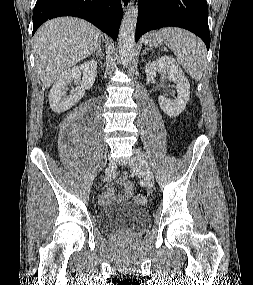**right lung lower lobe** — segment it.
Returning a JSON list of instances; mask_svg holds the SVG:
<instances>
[{
    "instance_id": "98d812e1",
    "label": "right lung lower lobe",
    "mask_w": 253,
    "mask_h": 285,
    "mask_svg": "<svg viewBox=\"0 0 253 285\" xmlns=\"http://www.w3.org/2000/svg\"><path fill=\"white\" fill-rule=\"evenodd\" d=\"M59 16L83 18L116 40L123 16L120 0H37L33 11V32Z\"/></svg>"
}]
</instances>
